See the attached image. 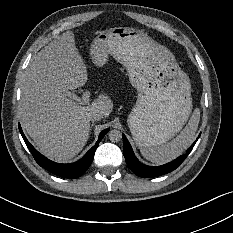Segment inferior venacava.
Listing matches in <instances>:
<instances>
[{
	"label": "inferior vena cava",
	"instance_id": "obj_1",
	"mask_svg": "<svg viewBox=\"0 0 233 233\" xmlns=\"http://www.w3.org/2000/svg\"><path fill=\"white\" fill-rule=\"evenodd\" d=\"M103 118V114L99 110H95L89 114V119L91 121H99Z\"/></svg>",
	"mask_w": 233,
	"mask_h": 233
}]
</instances>
